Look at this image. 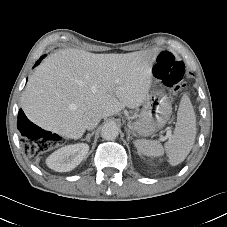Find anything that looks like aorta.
<instances>
[{
  "mask_svg": "<svg viewBox=\"0 0 227 227\" xmlns=\"http://www.w3.org/2000/svg\"><path fill=\"white\" fill-rule=\"evenodd\" d=\"M119 135V127L114 123H107L102 127L101 136L105 140H114Z\"/></svg>",
  "mask_w": 227,
  "mask_h": 227,
  "instance_id": "aorta-1",
  "label": "aorta"
}]
</instances>
